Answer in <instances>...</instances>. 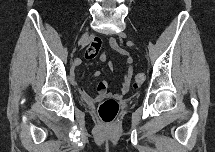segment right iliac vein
I'll return each instance as SVG.
<instances>
[{
  "label": "right iliac vein",
  "instance_id": "1",
  "mask_svg": "<svg viewBox=\"0 0 215 152\" xmlns=\"http://www.w3.org/2000/svg\"><path fill=\"white\" fill-rule=\"evenodd\" d=\"M88 33H85L82 38L80 39V42H84L87 39Z\"/></svg>",
  "mask_w": 215,
  "mask_h": 152
}]
</instances>
